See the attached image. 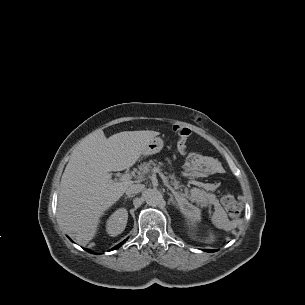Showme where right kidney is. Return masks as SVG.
Masks as SVG:
<instances>
[{
	"instance_id": "obj_1",
	"label": "right kidney",
	"mask_w": 305,
	"mask_h": 305,
	"mask_svg": "<svg viewBox=\"0 0 305 305\" xmlns=\"http://www.w3.org/2000/svg\"><path fill=\"white\" fill-rule=\"evenodd\" d=\"M127 220V210L125 208H119L109 217L106 222L107 233L112 237L121 234L126 227Z\"/></svg>"
}]
</instances>
